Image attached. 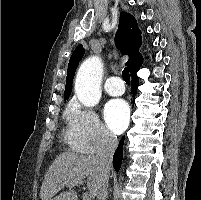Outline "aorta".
<instances>
[{
	"instance_id": "aorta-1",
	"label": "aorta",
	"mask_w": 201,
	"mask_h": 200,
	"mask_svg": "<svg viewBox=\"0 0 201 200\" xmlns=\"http://www.w3.org/2000/svg\"><path fill=\"white\" fill-rule=\"evenodd\" d=\"M102 75L103 64L97 56L89 57L79 67L75 81V93L86 107H94L99 103Z\"/></svg>"
}]
</instances>
